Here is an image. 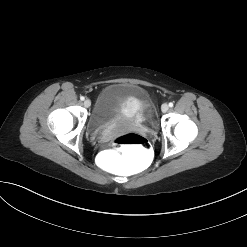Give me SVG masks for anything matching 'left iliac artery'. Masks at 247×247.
Masks as SVG:
<instances>
[{"label": "left iliac artery", "instance_id": "left-iliac-artery-1", "mask_svg": "<svg viewBox=\"0 0 247 247\" xmlns=\"http://www.w3.org/2000/svg\"><path fill=\"white\" fill-rule=\"evenodd\" d=\"M173 105H174V104H173L172 102L169 103V107H173Z\"/></svg>", "mask_w": 247, "mask_h": 247}]
</instances>
